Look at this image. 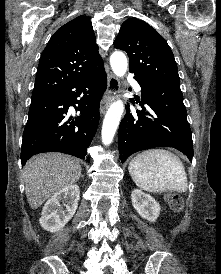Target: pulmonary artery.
I'll return each mask as SVG.
<instances>
[{
    "label": "pulmonary artery",
    "instance_id": "obj_1",
    "mask_svg": "<svg viewBox=\"0 0 221 274\" xmlns=\"http://www.w3.org/2000/svg\"><path fill=\"white\" fill-rule=\"evenodd\" d=\"M132 85L136 91H140V85L135 80H132Z\"/></svg>",
    "mask_w": 221,
    "mask_h": 274
}]
</instances>
